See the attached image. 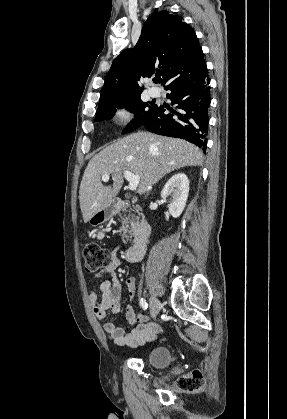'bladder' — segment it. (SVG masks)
<instances>
[{"label": "bladder", "instance_id": "bladder-1", "mask_svg": "<svg viewBox=\"0 0 287 419\" xmlns=\"http://www.w3.org/2000/svg\"><path fill=\"white\" fill-rule=\"evenodd\" d=\"M171 360V352L164 346L155 347L147 354V361L157 367H165L171 362Z\"/></svg>", "mask_w": 287, "mask_h": 419}]
</instances>
